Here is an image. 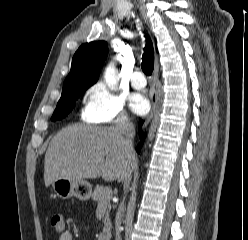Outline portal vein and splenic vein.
I'll return each instance as SVG.
<instances>
[{
  "label": "portal vein and splenic vein",
  "mask_w": 248,
  "mask_h": 240,
  "mask_svg": "<svg viewBox=\"0 0 248 240\" xmlns=\"http://www.w3.org/2000/svg\"><path fill=\"white\" fill-rule=\"evenodd\" d=\"M105 191L108 195H112V189L110 187H105Z\"/></svg>",
  "instance_id": "portal-vein-and-splenic-vein-1"
}]
</instances>
